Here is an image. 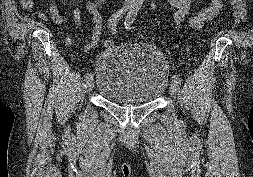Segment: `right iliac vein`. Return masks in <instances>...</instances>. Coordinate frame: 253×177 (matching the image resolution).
Here are the masks:
<instances>
[{
  "mask_svg": "<svg viewBox=\"0 0 253 177\" xmlns=\"http://www.w3.org/2000/svg\"><path fill=\"white\" fill-rule=\"evenodd\" d=\"M93 87H94V79H93V77H91L86 82V89L88 91H92Z\"/></svg>",
  "mask_w": 253,
  "mask_h": 177,
  "instance_id": "obj_1",
  "label": "right iliac vein"
}]
</instances>
